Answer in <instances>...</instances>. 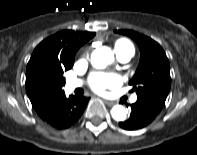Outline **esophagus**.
<instances>
[{
	"mask_svg": "<svg viewBox=\"0 0 197 155\" xmlns=\"http://www.w3.org/2000/svg\"><path fill=\"white\" fill-rule=\"evenodd\" d=\"M104 103L108 106H113L115 103L113 101L104 100Z\"/></svg>",
	"mask_w": 197,
	"mask_h": 155,
	"instance_id": "obj_1",
	"label": "esophagus"
}]
</instances>
